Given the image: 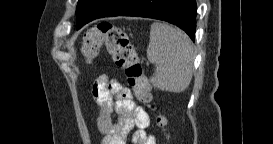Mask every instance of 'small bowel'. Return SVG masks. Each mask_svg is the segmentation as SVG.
Returning a JSON list of instances; mask_svg holds the SVG:
<instances>
[{
    "mask_svg": "<svg viewBox=\"0 0 273 144\" xmlns=\"http://www.w3.org/2000/svg\"><path fill=\"white\" fill-rule=\"evenodd\" d=\"M92 95L98 108L97 126L103 134V144H125L130 133L133 144H156L155 136L149 132L148 113L120 80L102 75L94 82Z\"/></svg>",
    "mask_w": 273,
    "mask_h": 144,
    "instance_id": "1",
    "label": "small bowel"
}]
</instances>
